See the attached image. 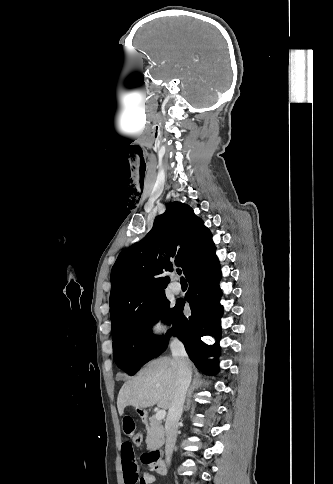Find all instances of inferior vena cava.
I'll list each match as a JSON object with an SVG mask.
<instances>
[{
  "instance_id": "inferior-vena-cava-1",
  "label": "inferior vena cava",
  "mask_w": 333,
  "mask_h": 484,
  "mask_svg": "<svg viewBox=\"0 0 333 484\" xmlns=\"http://www.w3.org/2000/svg\"><path fill=\"white\" fill-rule=\"evenodd\" d=\"M170 349L174 360L178 364V385L165 423V455L166 462L168 464L170 463L176 443L178 423L183 412L186 393L192 377L191 362L185 351L183 343L177 338H173L170 342Z\"/></svg>"
}]
</instances>
